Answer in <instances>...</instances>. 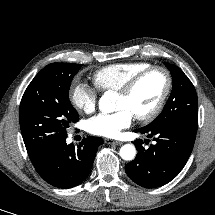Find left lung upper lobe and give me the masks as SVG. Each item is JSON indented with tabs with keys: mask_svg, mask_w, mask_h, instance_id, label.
<instances>
[{
	"mask_svg": "<svg viewBox=\"0 0 215 215\" xmlns=\"http://www.w3.org/2000/svg\"><path fill=\"white\" fill-rule=\"evenodd\" d=\"M164 64L172 75V92L160 115L145 127L176 124L197 131L198 100L195 88L180 68Z\"/></svg>",
	"mask_w": 215,
	"mask_h": 215,
	"instance_id": "1",
	"label": "left lung upper lobe"
}]
</instances>
